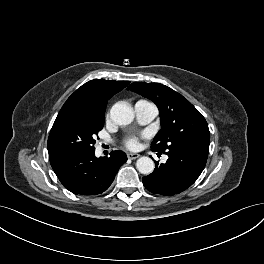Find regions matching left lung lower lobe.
<instances>
[{"mask_svg":"<svg viewBox=\"0 0 264 264\" xmlns=\"http://www.w3.org/2000/svg\"><path fill=\"white\" fill-rule=\"evenodd\" d=\"M165 154L169 157L167 162L155 161L154 171L142 179L148 191L165 196L179 194L190 187L202 173L208 157L207 152L187 146Z\"/></svg>","mask_w":264,"mask_h":264,"instance_id":"left-lung-lower-lobe-1","label":"left lung lower lobe"}]
</instances>
